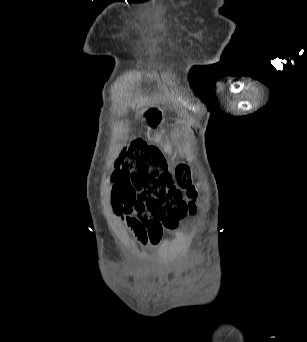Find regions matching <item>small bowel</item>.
Here are the masks:
<instances>
[{
  "instance_id": "obj_1",
  "label": "small bowel",
  "mask_w": 307,
  "mask_h": 342,
  "mask_svg": "<svg viewBox=\"0 0 307 342\" xmlns=\"http://www.w3.org/2000/svg\"><path fill=\"white\" fill-rule=\"evenodd\" d=\"M128 212H133L134 215L122 217L121 223L132 241L140 246L160 242L162 227L158 221L142 207Z\"/></svg>"
}]
</instances>
